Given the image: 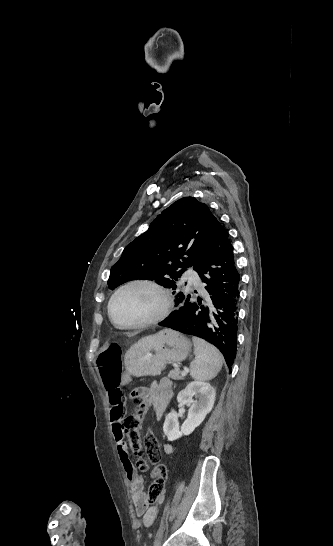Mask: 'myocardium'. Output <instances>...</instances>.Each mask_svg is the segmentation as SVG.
<instances>
[{
    "mask_svg": "<svg viewBox=\"0 0 333 546\" xmlns=\"http://www.w3.org/2000/svg\"><path fill=\"white\" fill-rule=\"evenodd\" d=\"M147 287L154 290L160 297V306L157 311L150 317L134 324L122 325L116 322L113 317L112 307L121 292L131 287ZM171 308V298L167 290L158 282L151 279H133L118 287L109 299L107 306V314L110 322L114 327L120 330H139L158 324L163 321L169 314Z\"/></svg>",
    "mask_w": 333,
    "mask_h": 546,
    "instance_id": "myocardium-1",
    "label": "myocardium"
}]
</instances>
